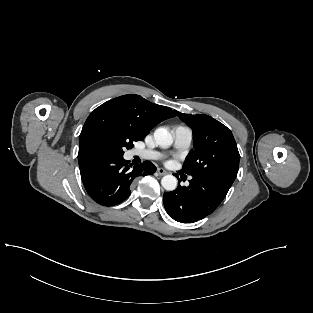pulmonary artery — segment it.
<instances>
[{"mask_svg":"<svg viewBox=\"0 0 313 313\" xmlns=\"http://www.w3.org/2000/svg\"><path fill=\"white\" fill-rule=\"evenodd\" d=\"M174 146L178 150L188 148L193 139L192 130L186 126H178L173 130ZM134 155L147 160H156L161 158V154L154 150H135Z\"/></svg>","mask_w":313,"mask_h":313,"instance_id":"pulmonary-artery-1","label":"pulmonary artery"}]
</instances>
